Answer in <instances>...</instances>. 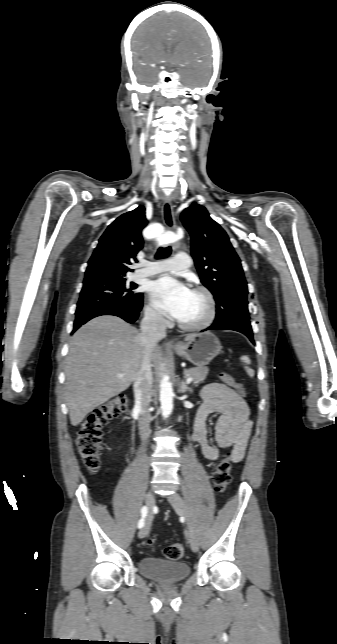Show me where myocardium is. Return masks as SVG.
Segmentation results:
<instances>
[{
	"mask_svg": "<svg viewBox=\"0 0 337 644\" xmlns=\"http://www.w3.org/2000/svg\"><path fill=\"white\" fill-rule=\"evenodd\" d=\"M192 292L200 294L206 302L207 312L205 317L197 323H184L177 321L178 326L186 331H201L208 328L215 320L217 315V305L216 300L212 292L205 286H196L193 288Z\"/></svg>",
	"mask_w": 337,
	"mask_h": 644,
	"instance_id": "myocardium-1",
	"label": "myocardium"
}]
</instances>
